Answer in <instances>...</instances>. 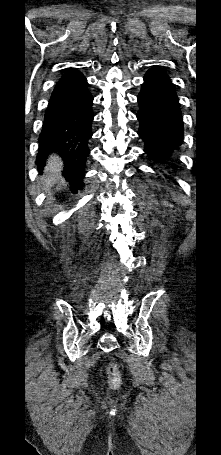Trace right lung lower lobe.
<instances>
[{
    "instance_id": "right-lung-lower-lobe-1",
    "label": "right lung lower lobe",
    "mask_w": 221,
    "mask_h": 455,
    "mask_svg": "<svg viewBox=\"0 0 221 455\" xmlns=\"http://www.w3.org/2000/svg\"><path fill=\"white\" fill-rule=\"evenodd\" d=\"M92 104L84 75L67 70L52 92L38 139V165L42 166L48 154H59L64 161L63 175L76 192L83 186L85 162L90 153Z\"/></svg>"
}]
</instances>
